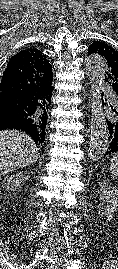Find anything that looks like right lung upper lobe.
I'll use <instances>...</instances> for the list:
<instances>
[{
  "label": "right lung upper lobe",
  "instance_id": "cb5924a9",
  "mask_svg": "<svg viewBox=\"0 0 118 269\" xmlns=\"http://www.w3.org/2000/svg\"><path fill=\"white\" fill-rule=\"evenodd\" d=\"M52 78V66L46 55L30 47L12 56L0 83V92H32L37 95L35 115L38 133L46 131Z\"/></svg>",
  "mask_w": 118,
  "mask_h": 269
}]
</instances>
